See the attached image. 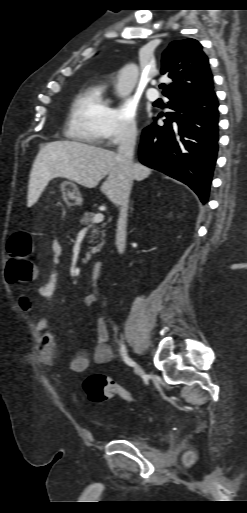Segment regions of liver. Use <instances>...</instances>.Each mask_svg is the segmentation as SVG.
I'll return each mask as SVG.
<instances>
[{"mask_svg":"<svg viewBox=\"0 0 247 513\" xmlns=\"http://www.w3.org/2000/svg\"><path fill=\"white\" fill-rule=\"evenodd\" d=\"M152 169L136 163L134 173L128 175L117 154L96 146L75 141H54L40 149L34 161L28 185V206L40 196L47 183L64 177L84 187L94 188L108 175L100 190L115 203L122 186L131 189L133 180L141 181Z\"/></svg>","mask_w":247,"mask_h":513,"instance_id":"6515ba94","label":"liver"}]
</instances>
